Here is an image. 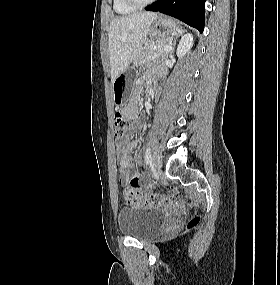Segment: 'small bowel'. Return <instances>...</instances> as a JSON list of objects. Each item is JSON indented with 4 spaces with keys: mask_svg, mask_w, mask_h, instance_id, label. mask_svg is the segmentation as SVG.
<instances>
[{
    "mask_svg": "<svg viewBox=\"0 0 280 285\" xmlns=\"http://www.w3.org/2000/svg\"><path fill=\"white\" fill-rule=\"evenodd\" d=\"M135 118L136 113L133 109L127 108L124 110ZM137 147L136 140L124 139L117 145V150L120 154L118 158V167L120 170V184L126 188L134 191H142L148 189L150 185L147 183V176L145 173L135 170L130 155L131 150ZM128 171L132 172L131 177L128 176Z\"/></svg>",
    "mask_w": 280,
    "mask_h": 285,
    "instance_id": "obj_1",
    "label": "small bowel"
}]
</instances>
